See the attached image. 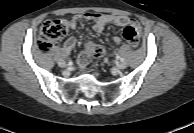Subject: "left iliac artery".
Instances as JSON below:
<instances>
[{
    "label": "left iliac artery",
    "mask_w": 194,
    "mask_h": 133,
    "mask_svg": "<svg viewBox=\"0 0 194 133\" xmlns=\"http://www.w3.org/2000/svg\"><path fill=\"white\" fill-rule=\"evenodd\" d=\"M116 59H117V60H120V61H124V59L121 58L120 56H117Z\"/></svg>",
    "instance_id": "obj_1"
}]
</instances>
